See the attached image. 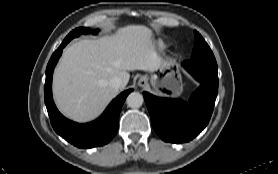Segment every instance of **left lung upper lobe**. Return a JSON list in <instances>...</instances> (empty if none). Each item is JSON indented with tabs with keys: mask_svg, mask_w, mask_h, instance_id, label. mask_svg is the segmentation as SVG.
Segmentation results:
<instances>
[{
	"mask_svg": "<svg viewBox=\"0 0 278 174\" xmlns=\"http://www.w3.org/2000/svg\"><path fill=\"white\" fill-rule=\"evenodd\" d=\"M194 34L196 42L191 59L202 61L203 63L213 68H217L215 57L208 44L205 42V40L202 38L199 32L194 31Z\"/></svg>",
	"mask_w": 278,
	"mask_h": 174,
	"instance_id": "obj_1",
	"label": "left lung upper lobe"
}]
</instances>
